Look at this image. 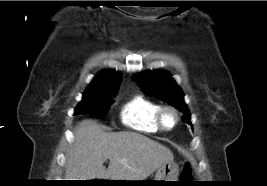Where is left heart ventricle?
I'll return each mask as SVG.
<instances>
[{"label": "left heart ventricle", "instance_id": "b2bd125f", "mask_svg": "<svg viewBox=\"0 0 267 186\" xmlns=\"http://www.w3.org/2000/svg\"><path fill=\"white\" fill-rule=\"evenodd\" d=\"M175 121V117L173 113L171 112H166L164 115V123L166 126H172Z\"/></svg>", "mask_w": 267, "mask_h": 186}]
</instances>
